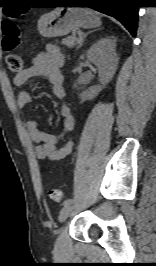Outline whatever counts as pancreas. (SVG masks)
<instances>
[{
  "label": "pancreas",
  "mask_w": 156,
  "mask_h": 266,
  "mask_svg": "<svg viewBox=\"0 0 156 266\" xmlns=\"http://www.w3.org/2000/svg\"><path fill=\"white\" fill-rule=\"evenodd\" d=\"M77 38L76 36H68L62 40V44L66 45L68 48H73L76 45Z\"/></svg>",
  "instance_id": "1"
}]
</instances>
